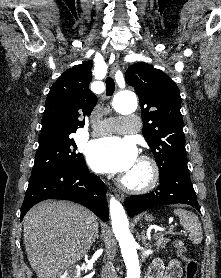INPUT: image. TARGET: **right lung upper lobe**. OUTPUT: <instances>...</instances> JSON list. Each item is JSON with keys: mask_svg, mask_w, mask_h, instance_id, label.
Listing matches in <instances>:
<instances>
[{"mask_svg": "<svg viewBox=\"0 0 221 278\" xmlns=\"http://www.w3.org/2000/svg\"><path fill=\"white\" fill-rule=\"evenodd\" d=\"M91 61L65 71L52 85L46 98L39 142L70 136L83 127L82 116L90 115L97 97L90 91Z\"/></svg>", "mask_w": 221, "mask_h": 278, "instance_id": "right-lung-upper-lobe-1", "label": "right lung upper lobe"}]
</instances>
